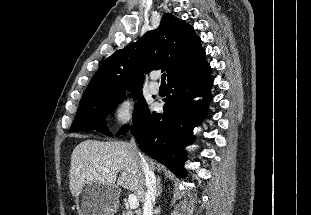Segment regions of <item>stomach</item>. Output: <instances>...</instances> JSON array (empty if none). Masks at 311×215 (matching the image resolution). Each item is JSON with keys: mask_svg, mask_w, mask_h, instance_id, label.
<instances>
[{"mask_svg": "<svg viewBox=\"0 0 311 215\" xmlns=\"http://www.w3.org/2000/svg\"><path fill=\"white\" fill-rule=\"evenodd\" d=\"M75 203L79 215H114L118 209V190L111 185L89 183Z\"/></svg>", "mask_w": 311, "mask_h": 215, "instance_id": "stomach-1", "label": "stomach"}]
</instances>
